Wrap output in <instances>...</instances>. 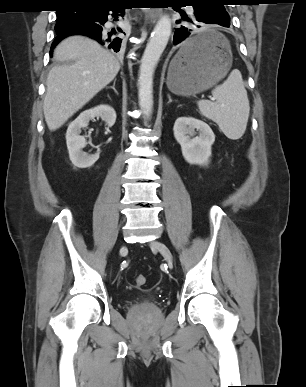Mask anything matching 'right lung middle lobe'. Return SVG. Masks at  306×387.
Masks as SVG:
<instances>
[{
    "mask_svg": "<svg viewBox=\"0 0 306 387\" xmlns=\"http://www.w3.org/2000/svg\"><path fill=\"white\" fill-rule=\"evenodd\" d=\"M90 9V7L83 9L67 8L57 11L56 32L83 22L87 18Z\"/></svg>",
    "mask_w": 306,
    "mask_h": 387,
    "instance_id": "obj_1",
    "label": "right lung middle lobe"
}]
</instances>
